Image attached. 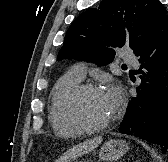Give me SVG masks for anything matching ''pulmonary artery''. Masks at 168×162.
I'll list each match as a JSON object with an SVG mask.
<instances>
[{
  "label": "pulmonary artery",
  "instance_id": "1",
  "mask_svg": "<svg viewBox=\"0 0 168 162\" xmlns=\"http://www.w3.org/2000/svg\"><path fill=\"white\" fill-rule=\"evenodd\" d=\"M123 60L127 63H131V64H137L136 59L134 58V56L130 55V54H125L123 56ZM71 70L73 71V73L79 77L80 79H82L85 76V72H86V65L85 63L81 62L76 64L75 66H73V68H71Z\"/></svg>",
  "mask_w": 168,
  "mask_h": 162
}]
</instances>
